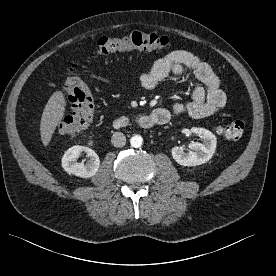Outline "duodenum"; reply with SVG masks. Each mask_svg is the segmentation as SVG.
I'll use <instances>...</instances> for the list:
<instances>
[{"mask_svg":"<svg viewBox=\"0 0 276 276\" xmlns=\"http://www.w3.org/2000/svg\"><path fill=\"white\" fill-rule=\"evenodd\" d=\"M169 114L164 110H156L150 115H141L135 119V122L140 128L150 129L154 126L163 125L168 122ZM130 119L126 116H119L113 121V126L116 129H125L129 126Z\"/></svg>","mask_w":276,"mask_h":276,"instance_id":"duodenum-1","label":"duodenum"}]
</instances>
